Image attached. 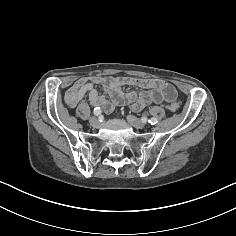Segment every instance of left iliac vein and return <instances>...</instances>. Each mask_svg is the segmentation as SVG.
I'll use <instances>...</instances> for the list:
<instances>
[{
  "instance_id": "1",
  "label": "left iliac vein",
  "mask_w": 236,
  "mask_h": 236,
  "mask_svg": "<svg viewBox=\"0 0 236 236\" xmlns=\"http://www.w3.org/2000/svg\"><path fill=\"white\" fill-rule=\"evenodd\" d=\"M126 119L129 124H131L132 126H134L137 129H142L145 126V124L141 120H139L138 118H136L133 115H128L126 117Z\"/></svg>"
}]
</instances>
